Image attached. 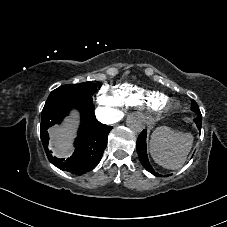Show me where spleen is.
I'll list each match as a JSON object with an SVG mask.
<instances>
[{
    "label": "spleen",
    "instance_id": "1",
    "mask_svg": "<svg viewBox=\"0 0 227 227\" xmlns=\"http://www.w3.org/2000/svg\"><path fill=\"white\" fill-rule=\"evenodd\" d=\"M193 137L169 126L157 128L151 137L150 153L155 162L166 169H179L192 147Z\"/></svg>",
    "mask_w": 227,
    "mask_h": 227
}]
</instances>
